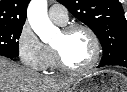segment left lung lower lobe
<instances>
[{
    "label": "left lung lower lobe",
    "instance_id": "obj_1",
    "mask_svg": "<svg viewBox=\"0 0 127 92\" xmlns=\"http://www.w3.org/2000/svg\"><path fill=\"white\" fill-rule=\"evenodd\" d=\"M106 65H120L127 67V49L117 50L107 58H102L98 67Z\"/></svg>",
    "mask_w": 127,
    "mask_h": 92
}]
</instances>
